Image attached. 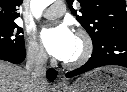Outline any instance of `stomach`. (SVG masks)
I'll return each mask as SVG.
<instances>
[{
  "label": "stomach",
  "instance_id": "0dacf381",
  "mask_svg": "<svg viewBox=\"0 0 127 92\" xmlns=\"http://www.w3.org/2000/svg\"><path fill=\"white\" fill-rule=\"evenodd\" d=\"M63 92H127V71L115 66H104L90 71Z\"/></svg>",
  "mask_w": 127,
  "mask_h": 92
}]
</instances>
